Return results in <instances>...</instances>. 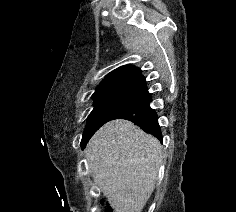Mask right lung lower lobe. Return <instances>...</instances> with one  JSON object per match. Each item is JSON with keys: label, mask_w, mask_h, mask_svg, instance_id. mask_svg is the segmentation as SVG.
Listing matches in <instances>:
<instances>
[{"label": "right lung lower lobe", "mask_w": 236, "mask_h": 212, "mask_svg": "<svg viewBox=\"0 0 236 212\" xmlns=\"http://www.w3.org/2000/svg\"><path fill=\"white\" fill-rule=\"evenodd\" d=\"M150 102L151 94L146 88L144 79L129 92L128 97L107 122L118 118L130 120L146 133H150L162 141V134L157 121L158 116L155 110L150 107Z\"/></svg>", "instance_id": "98d812e1"}]
</instances>
